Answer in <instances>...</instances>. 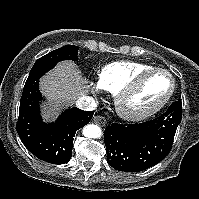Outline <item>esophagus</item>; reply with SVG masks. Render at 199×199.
Listing matches in <instances>:
<instances>
[{"label": "esophagus", "instance_id": "1", "mask_svg": "<svg viewBox=\"0 0 199 199\" xmlns=\"http://www.w3.org/2000/svg\"><path fill=\"white\" fill-rule=\"evenodd\" d=\"M94 123L99 126H105L106 125V119L102 116L96 115L93 119Z\"/></svg>", "mask_w": 199, "mask_h": 199}]
</instances>
